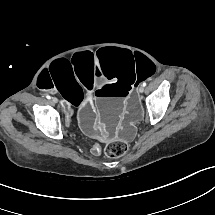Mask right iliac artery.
<instances>
[{
    "label": "right iliac artery",
    "instance_id": "1",
    "mask_svg": "<svg viewBox=\"0 0 215 215\" xmlns=\"http://www.w3.org/2000/svg\"><path fill=\"white\" fill-rule=\"evenodd\" d=\"M46 98H47V99H50L51 97H50L49 95H46Z\"/></svg>",
    "mask_w": 215,
    "mask_h": 215
}]
</instances>
